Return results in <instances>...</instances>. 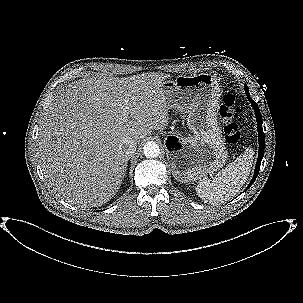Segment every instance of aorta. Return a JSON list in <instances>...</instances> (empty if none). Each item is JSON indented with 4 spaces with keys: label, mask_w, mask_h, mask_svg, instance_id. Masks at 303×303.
I'll return each instance as SVG.
<instances>
[{
    "label": "aorta",
    "mask_w": 303,
    "mask_h": 303,
    "mask_svg": "<svg viewBox=\"0 0 303 303\" xmlns=\"http://www.w3.org/2000/svg\"><path fill=\"white\" fill-rule=\"evenodd\" d=\"M143 152L147 158H155L159 156L160 148L156 142L149 141L144 145Z\"/></svg>",
    "instance_id": "aorta-1"
}]
</instances>
